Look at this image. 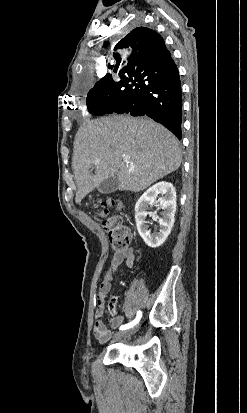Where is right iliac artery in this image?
Segmentation results:
<instances>
[{"mask_svg": "<svg viewBox=\"0 0 247 413\" xmlns=\"http://www.w3.org/2000/svg\"><path fill=\"white\" fill-rule=\"evenodd\" d=\"M141 317H142V311L139 310V311H137L136 318L133 321H131L128 324L122 325L119 329L120 330H127V329L132 328L133 326H135L140 321Z\"/></svg>", "mask_w": 247, "mask_h": 413, "instance_id": "1", "label": "right iliac artery"}]
</instances>
